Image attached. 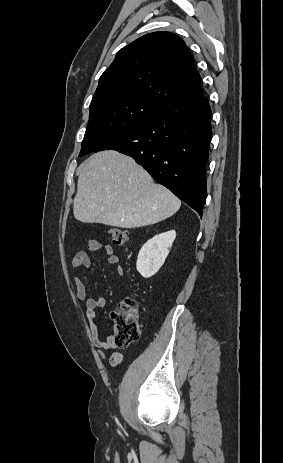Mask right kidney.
<instances>
[{"instance_id": "obj_1", "label": "right kidney", "mask_w": 283, "mask_h": 463, "mask_svg": "<svg viewBox=\"0 0 283 463\" xmlns=\"http://www.w3.org/2000/svg\"><path fill=\"white\" fill-rule=\"evenodd\" d=\"M176 238L174 230L161 233L148 240L141 248L137 258V271L144 278L155 275L164 264Z\"/></svg>"}]
</instances>
